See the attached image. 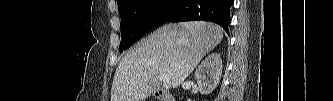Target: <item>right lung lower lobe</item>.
<instances>
[{
	"label": "right lung lower lobe",
	"instance_id": "right-lung-lower-lobe-1",
	"mask_svg": "<svg viewBox=\"0 0 333 101\" xmlns=\"http://www.w3.org/2000/svg\"><path fill=\"white\" fill-rule=\"evenodd\" d=\"M232 4L233 0H171L161 23L205 20L219 24L228 32Z\"/></svg>",
	"mask_w": 333,
	"mask_h": 101
}]
</instances>
